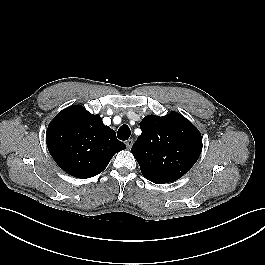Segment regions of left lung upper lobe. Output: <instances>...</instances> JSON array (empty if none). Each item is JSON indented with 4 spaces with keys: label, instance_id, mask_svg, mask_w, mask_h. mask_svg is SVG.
Instances as JSON below:
<instances>
[{
    "label": "left lung upper lobe",
    "instance_id": "obj_1",
    "mask_svg": "<svg viewBox=\"0 0 265 265\" xmlns=\"http://www.w3.org/2000/svg\"><path fill=\"white\" fill-rule=\"evenodd\" d=\"M142 133L131 148L143 176L156 184L173 182L187 173L202 151L198 129L185 117L171 112L148 115L140 122Z\"/></svg>",
    "mask_w": 265,
    "mask_h": 265
}]
</instances>
